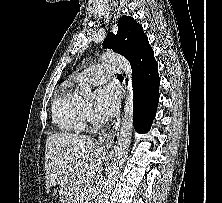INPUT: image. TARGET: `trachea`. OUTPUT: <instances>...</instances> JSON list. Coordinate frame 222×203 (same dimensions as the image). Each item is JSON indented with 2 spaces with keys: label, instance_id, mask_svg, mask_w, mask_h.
Masks as SVG:
<instances>
[{
  "label": "trachea",
  "instance_id": "obj_1",
  "mask_svg": "<svg viewBox=\"0 0 222 203\" xmlns=\"http://www.w3.org/2000/svg\"><path fill=\"white\" fill-rule=\"evenodd\" d=\"M117 78H118V79H123V76H122L121 74H119V75L117 76Z\"/></svg>",
  "mask_w": 222,
  "mask_h": 203
}]
</instances>
